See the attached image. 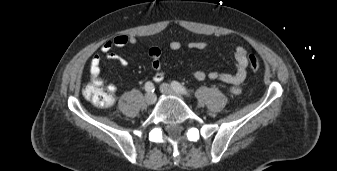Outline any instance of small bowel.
Masks as SVG:
<instances>
[{
  "mask_svg": "<svg viewBox=\"0 0 337 171\" xmlns=\"http://www.w3.org/2000/svg\"><path fill=\"white\" fill-rule=\"evenodd\" d=\"M137 38L132 35L119 34L115 36L112 40L106 41L99 53H96L90 60V73L91 76L99 78L101 74V63L102 59L117 61L121 67H126L128 61L114 52V48H124L126 46H134L137 44ZM190 50H203L210 46L206 41H190L187 44ZM171 50L177 51L182 47V44L178 40H173L169 43ZM149 57L151 59V67L153 69L154 75L153 79L155 82H161L164 79V72L161 65V50L158 47H151L148 51ZM248 52L242 46H236L233 51V61L235 64L234 73L225 72H205L202 70H194L191 75L198 81L210 80L218 81L226 84L232 93H238L241 90V86L244 83L247 76V61ZM106 89L114 94L117 91V86L115 84H108Z\"/></svg>",
  "mask_w": 337,
  "mask_h": 171,
  "instance_id": "small-bowel-1",
  "label": "small bowel"
}]
</instances>
